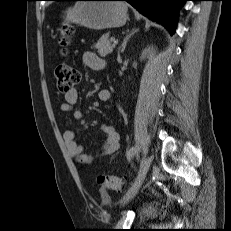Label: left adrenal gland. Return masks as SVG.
<instances>
[{
  "label": "left adrenal gland",
  "mask_w": 231,
  "mask_h": 231,
  "mask_svg": "<svg viewBox=\"0 0 231 231\" xmlns=\"http://www.w3.org/2000/svg\"><path fill=\"white\" fill-rule=\"evenodd\" d=\"M138 32V29H132L131 31L127 30V34L123 40V43L121 45V47L119 48L120 52L123 53L125 48H126V45H127V42L129 41V39L136 33Z\"/></svg>",
  "instance_id": "a2214340"
}]
</instances>
